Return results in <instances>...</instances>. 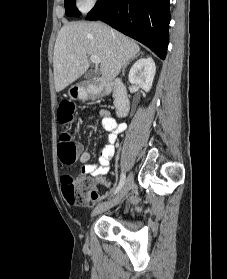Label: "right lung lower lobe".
<instances>
[{"label": "right lung lower lobe", "instance_id": "1", "mask_svg": "<svg viewBox=\"0 0 227 279\" xmlns=\"http://www.w3.org/2000/svg\"><path fill=\"white\" fill-rule=\"evenodd\" d=\"M170 0H98L87 20H102L165 59Z\"/></svg>", "mask_w": 227, "mask_h": 279}]
</instances>
